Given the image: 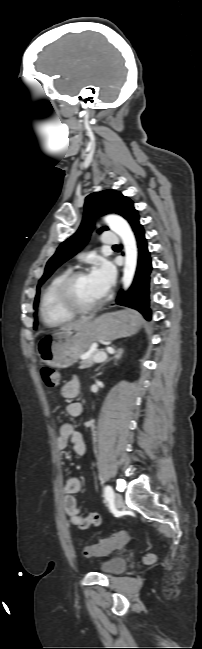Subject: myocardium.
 <instances>
[{
  "label": "myocardium",
  "instance_id": "1",
  "mask_svg": "<svg viewBox=\"0 0 202 649\" xmlns=\"http://www.w3.org/2000/svg\"><path fill=\"white\" fill-rule=\"evenodd\" d=\"M86 274V271L83 269L70 273L63 280L58 290V296L61 303L67 310L74 314L90 313L102 306L106 300V296H103L100 300L89 305H83L77 301L75 297V286L78 279Z\"/></svg>",
  "mask_w": 202,
  "mask_h": 649
}]
</instances>
